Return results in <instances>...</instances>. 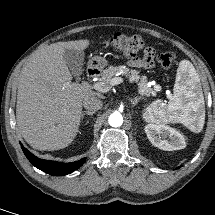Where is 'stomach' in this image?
<instances>
[{"mask_svg":"<svg viewBox=\"0 0 215 215\" xmlns=\"http://www.w3.org/2000/svg\"><path fill=\"white\" fill-rule=\"evenodd\" d=\"M89 65L96 69H103L107 65V60L101 56H94L90 61Z\"/></svg>","mask_w":215,"mask_h":215,"instance_id":"0dacf381","label":"stomach"}]
</instances>
